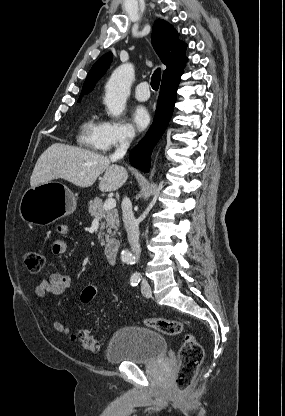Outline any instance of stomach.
I'll list each match as a JSON object with an SVG mask.
<instances>
[{
  "label": "stomach",
  "mask_w": 285,
  "mask_h": 416,
  "mask_svg": "<svg viewBox=\"0 0 285 416\" xmlns=\"http://www.w3.org/2000/svg\"><path fill=\"white\" fill-rule=\"evenodd\" d=\"M76 198L61 182H48L24 192L19 212L22 220L34 226H48L75 212Z\"/></svg>",
  "instance_id": "obj_1"
}]
</instances>
